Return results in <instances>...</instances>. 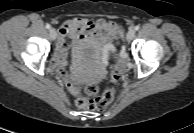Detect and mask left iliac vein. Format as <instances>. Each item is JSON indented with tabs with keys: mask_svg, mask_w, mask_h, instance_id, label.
<instances>
[{
	"mask_svg": "<svg viewBox=\"0 0 194 133\" xmlns=\"http://www.w3.org/2000/svg\"><path fill=\"white\" fill-rule=\"evenodd\" d=\"M135 36V30L134 29H130L126 35V40L128 42H130Z\"/></svg>",
	"mask_w": 194,
	"mask_h": 133,
	"instance_id": "4c4485c4",
	"label": "left iliac vein"
}]
</instances>
